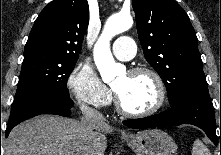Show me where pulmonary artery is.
<instances>
[{
    "instance_id": "pulmonary-artery-1",
    "label": "pulmonary artery",
    "mask_w": 221,
    "mask_h": 155,
    "mask_svg": "<svg viewBox=\"0 0 221 155\" xmlns=\"http://www.w3.org/2000/svg\"><path fill=\"white\" fill-rule=\"evenodd\" d=\"M112 50L117 59L128 61L134 57L136 47L132 38L121 36L114 42Z\"/></svg>"
}]
</instances>
